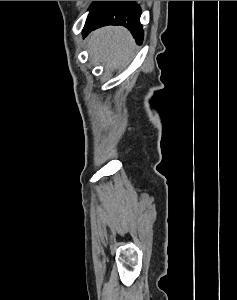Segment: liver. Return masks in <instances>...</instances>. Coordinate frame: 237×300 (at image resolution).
<instances>
[{"mask_svg":"<svg viewBox=\"0 0 237 300\" xmlns=\"http://www.w3.org/2000/svg\"><path fill=\"white\" fill-rule=\"evenodd\" d=\"M87 47L105 69H123L131 63L136 45L125 27H102L89 35Z\"/></svg>","mask_w":237,"mask_h":300,"instance_id":"1","label":"liver"}]
</instances>
